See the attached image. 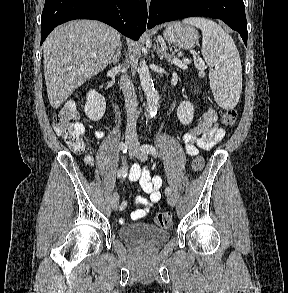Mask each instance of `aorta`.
<instances>
[{"mask_svg": "<svg viewBox=\"0 0 288 293\" xmlns=\"http://www.w3.org/2000/svg\"><path fill=\"white\" fill-rule=\"evenodd\" d=\"M138 73H139L141 87L147 99L148 117L152 118L156 115L158 107H159V94L154 88V83L151 78V74L145 60H142L140 62Z\"/></svg>", "mask_w": 288, "mask_h": 293, "instance_id": "1", "label": "aorta"}]
</instances>
